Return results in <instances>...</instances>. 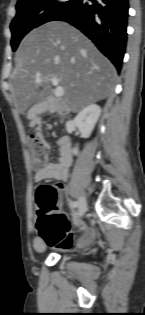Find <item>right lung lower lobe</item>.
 I'll return each mask as SVG.
<instances>
[{
    "label": "right lung lower lobe",
    "instance_id": "1",
    "mask_svg": "<svg viewBox=\"0 0 145 315\" xmlns=\"http://www.w3.org/2000/svg\"><path fill=\"white\" fill-rule=\"evenodd\" d=\"M74 0L54 20L72 24L88 36L118 71L127 42L128 0Z\"/></svg>",
    "mask_w": 145,
    "mask_h": 315
}]
</instances>
